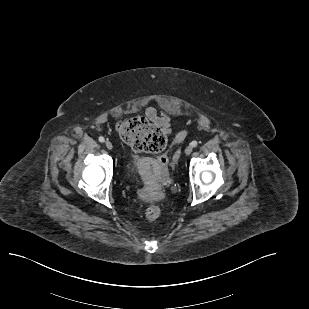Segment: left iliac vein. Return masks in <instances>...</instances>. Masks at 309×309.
<instances>
[{
	"mask_svg": "<svg viewBox=\"0 0 309 309\" xmlns=\"http://www.w3.org/2000/svg\"><path fill=\"white\" fill-rule=\"evenodd\" d=\"M192 151H193V148L190 145L185 148V154L186 155H190L192 153Z\"/></svg>",
	"mask_w": 309,
	"mask_h": 309,
	"instance_id": "4c4485c4",
	"label": "left iliac vein"
}]
</instances>
